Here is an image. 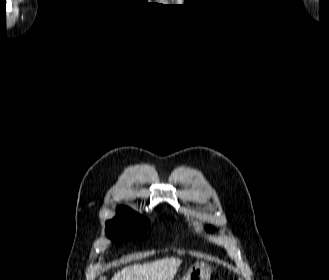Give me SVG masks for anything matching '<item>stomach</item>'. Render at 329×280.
Returning <instances> with one entry per match:
<instances>
[{"label": "stomach", "instance_id": "stomach-1", "mask_svg": "<svg viewBox=\"0 0 329 280\" xmlns=\"http://www.w3.org/2000/svg\"><path fill=\"white\" fill-rule=\"evenodd\" d=\"M211 268L204 262L191 265L186 274L179 280H210Z\"/></svg>", "mask_w": 329, "mask_h": 280}]
</instances>
